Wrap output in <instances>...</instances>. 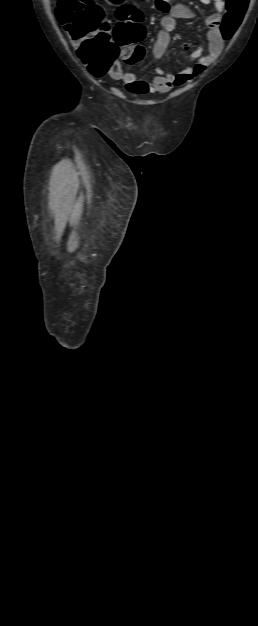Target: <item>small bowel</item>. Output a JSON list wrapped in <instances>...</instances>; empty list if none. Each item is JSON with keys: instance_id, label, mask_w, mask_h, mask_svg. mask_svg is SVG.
Listing matches in <instances>:
<instances>
[{"instance_id": "small-bowel-1", "label": "small bowel", "mask_w": 258, "mask_h": 626, "mask_svg": "<svg viewBox=\"0 0 258 626\" xmlns=\"http://www.w3.org/2000/svg\"><path fill=\"white\" fill-rule=\"evenodd\" d=\"M202 3H213L216 11L206 19L208 27V51L203 54L201 48H197L191 53V59L195 61L194 66L188 67L176 73L165 70H158V75L152 80L140 79L135 73L123 71L119 62H114L109 70V76L121 81L125 88L134 94L148 93H168L173 88L184 85L194 77L200 75L204 69L212 64L221 54L224 46V39L220 32V25L225 12L224 0H200ZM153 7L166 15L161 19L162 29L157 33L153 48L154 57L161 59L169 44L170 33L175 29L176 18L192 19L193 12L185 5H171L169 0H154ZM188 49V45H184Z\"/></svg>"}]
</instances>
